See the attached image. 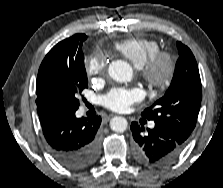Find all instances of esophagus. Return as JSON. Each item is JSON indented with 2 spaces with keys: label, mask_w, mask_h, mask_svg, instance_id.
Listing matches in <instances>:
<instances>
[{
  "label": "esophagus",
  "mask_w": 223,
  "mask_h": 188,
  "mask_svg": "<svg viewBox=\"0 0 223 188\" xmlns=\"http://www.w3.org/2000/svg\"><path fill=\"white\" fill-rule=\"evenodd\" d=\"M112 117H113V115H109V116L105 117L104 120L109 121Z\"/></svg>",
  "instance_id": "34e87169"
}]
</instances>
